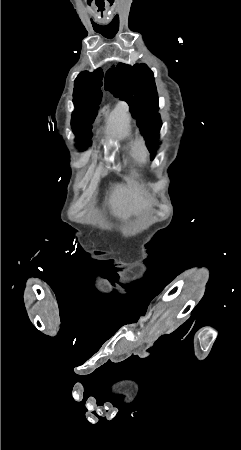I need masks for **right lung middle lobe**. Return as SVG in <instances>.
<instances>
[{"instance_id": "right-lung-middle-lobe-1", "label": "right lung middle lobe", "mask_w": 241, "mask_h": 450, "mask_svg": "<svg viewBox=\"0 0 241 450\" xmlns=\"http://www.w3.org/2000/svg\"><path fill=\"white\" fill-rule=\"evenodd\" d=\"M101 86L102 80L87 71L80 73L75 79L73 102L76 110L72 113L71 120L73 131L77 128L79 119L84 114L91 113L93 120L95 119L99 108L98 105L102 98V92L100 91ZM91 137L92 133L89 135V142Z\"/></svg>"}]
</instances>
